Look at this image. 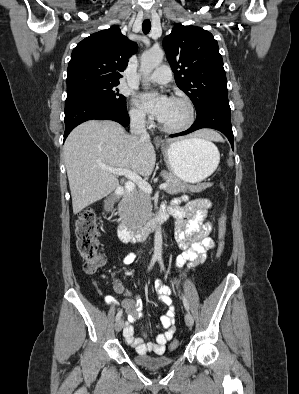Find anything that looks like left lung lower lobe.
Returning <instances> with one entry per match:
<instances>
[{
    "label": "left lung lower lobe",
    "mask_w": 299,
    "mask_h": 394,
    "mask_svg": "<svg viewBox=\"0 0 299 394\" xmlns=\"http://www.w3.org/2000/svg\"><path fill=\"white\" fill-rule=\"evenodd\" d=\"M197 118L194 124L186 131L170 135L176 137L186 135L201 128H212L222 132L234 149L233 132L230 120L231 109L228 97H218L209 100L196 110Z\"/></svg>",
    "instance_id": "1"
}]
</instances>
